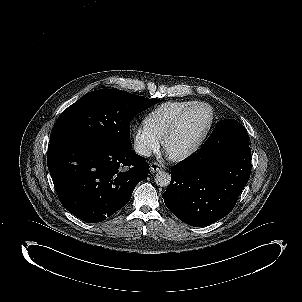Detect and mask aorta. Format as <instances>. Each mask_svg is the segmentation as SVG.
I'll return each mask as SVG.
<instances>
[{
  "mask_svg": "<svg viewBox=\"0 0 302 302\" xmlns=\"http://www.w3.org/2000/svg\"><path fill=\"white\" fill-rule=\"evenodd\" d=\"M154 181L157 186L167 187L171 181V175L165 171H159L155 175Z\"/></svg>",
  "mask_w": 302,
  "mask_h": 302,
  "instance_id": "1",
  "label": "aorta"
}]
</instances>
